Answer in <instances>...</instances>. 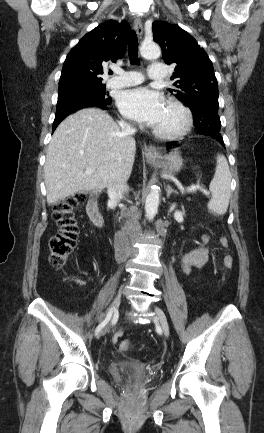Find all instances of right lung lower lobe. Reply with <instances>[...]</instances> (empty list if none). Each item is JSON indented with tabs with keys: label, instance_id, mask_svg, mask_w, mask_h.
Returning <instances> with one entry per match:
<instances>
[{
	"label": "right lung lower lobe",
	"instance_id": "right-lung-lower-lobe-1",
	"mask_svg": "<svg viewBox=\"0 0 264 433\" xmlns=\"http://www.w3.org/2000/svg\"><path fill=\"white\" fill-rule=\"evenodd\" d=\"M112 100L103 101L98 98H86V99H78L75 102H70L66 104V110L62 114L55 117L52 131L56 129V127L60 124V122L69 114L86 107H97L101 109H108V106L111 104Z\"/></svg>",
	"mask_w": 264,
	"mask_h": 433
}]
</instances>
